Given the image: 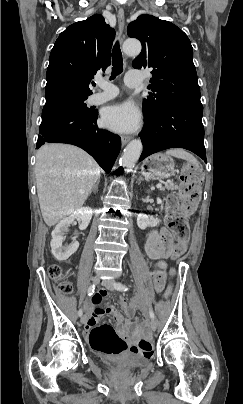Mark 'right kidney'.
<instances>
[{"label": "right kidney", "mask_w": 243, "mask_h": 404, "mask_svg": "<svg viewBox=\"0 0 243 404\" xmlns=\"http://www.w3.org/2000/svg\"><path fill=\"white\" fill-rule=\"evenodd\" d=\"M91 218V208H79V210L72 212L69 218H63V220L57 224L51 234L52 240L50 242L51 252L56 260H59V262L68 260L79 248V242H72L70 246H63L64 232L68 230L70 224H73L74 220H77V222H79V230H86L87 226L90 224Z\"/></svg>", "instance_id": "obj_1"}]
</instances>
